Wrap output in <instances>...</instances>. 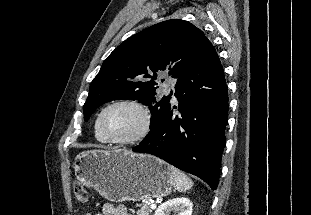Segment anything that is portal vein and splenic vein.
<instances>
[{
  "label": "portal vein and splenic vein",
  "instance_id": "portal-vein-and-splenic-vein-1",
  "mask_svg": "<svg viewBox=\"0 0 311 215\" xmlns=\"http://www.w3.org/2000/svg\"><path fill=\"white\" fill-rule=\"evenodd\" d=\"M149 204H150V208H152V209L156 208V204H154V203H149Z\"/></svg>",
  "mask_w": 311,
  "mask_h": 215
}]
</instances>
